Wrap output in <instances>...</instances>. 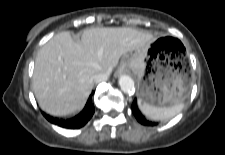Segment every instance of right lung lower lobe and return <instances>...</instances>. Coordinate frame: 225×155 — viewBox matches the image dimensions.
<instances>
[{
    "mask_svg": "<svg viewBox=\"0 0 225 155\" xmlns=\"http://www.w3.org/2000/svg\"><path fill=\"white\" fill-rule=\"evenodd\" d=\"M92 95H93V92L90 95L83 111L73 118H69L66 120L57 119L49 115H46L44 112H43V115L49 122L56 124L60 127L71 128V129L83 127L91 119L95 111L94 104L92 103Z\"/></svg>",
    "mask_w": 225,
    "mask_h": 155,
    "instance_id": "right-lung-lower-lobe-1",
    "label": "right lung lower lobe"
}]
</instances>
